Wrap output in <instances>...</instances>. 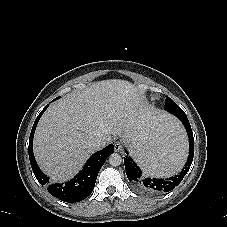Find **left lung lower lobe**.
Segmentation results:
<instances>
[{
	"label": "left lung lower lobe",
	"instance_id": "0a47b994",
	"mask_svg": "<svg viewBox=\"0 0 227 227\" xmlns=\"http://www.w3.org/2000/svg\"><path fill=\"white\" fill-rule=\"evenodd\" d=\"M165 110L175 115L185 126L189 138V155L184 168L177 175L168 179L145 178L138 165L131 157L124 158L126 175L133 187L146 195H160L173 190L187 174L194 157V137L189 120L184 111L169 97L165 100ZM128 154V152L126 151Z\"/></svg>",
	"mask_w": 227,
	"mask_h": 227
}]
</instances>
